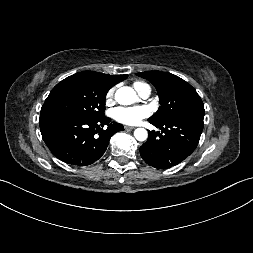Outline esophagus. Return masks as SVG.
Segmentation results:
<instances>
[{
	"label": "esophagus",
	"instance_id": "esophagus-1",
	"mask_svg": "<svg viewBox=\"0 0 253 253\" xmlns=\"http://www.w3.org/2000/svg\"><path fill=\"white\" fill-rule=\"evenodd\" d=\"M124 128H125V130H133V129H135V127H132V126H125Z\"/></svg>",
	"mask_w": 253,
	"mask_h": 253
}]
</instances>
